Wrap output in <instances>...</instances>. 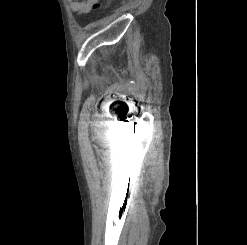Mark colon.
Masks as SVG:
<instances>
[{
	"instance_id": "5ec220e1",
	"label": "colon",
	"mask_w": 247,
	"mask_h": 245,
	"mask_svg": "<svg viewBox=\"0 0 247 245\" xmlns=\"http://www.w3.org/2000/svg\"><path fill=\"white\" fill-rule=\"evenodd\" d=\"M106 3H109V0L106 2ZM103 4H101L100 2H99V0H97V2L93 5V7L94 8H99V7H101Z\"/></svg>"
}]
</instances>
